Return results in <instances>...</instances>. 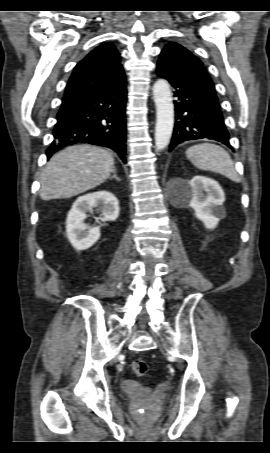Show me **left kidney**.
I'll use <instances>...</instances> for the list:
<instances>
[{"label":"left kidney","mask_w":270,"mask_h":453,"mask_svg":"<svg viewBox=\"0 0 270 453\" xmlns=\"http://www.w3.org/2000/svg\"><path fill=\"white\" fill-rule=\"evenodd\" d=\"M182 202L191 207L207 229H214L225 215V194L215 180L194 176L180 190Z\"/></svg>","instance_id":"left-kidney-1"}]
</instances>
